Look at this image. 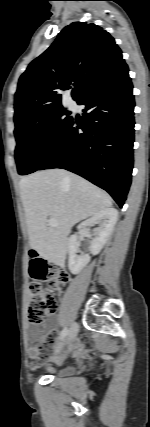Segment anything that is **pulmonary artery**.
I'll return each instance as SVG.
<instances>
[{"label": "pulmonary artery", "mask_w": 150, "mask_h": 427, "mask_svg": "<svg viewBox=\"0 0 150 427\" xmlns=\"http://www.w3.org/2000/svg\"><path fill=\"white\" fill-rule=\"evenodd\" d=\"M68 105H69L70 107H72V106L74 105V102H73V101H69V102H68Z\"/></svg>", "instance_id": "e3ab8cb5"}]
</instances>
